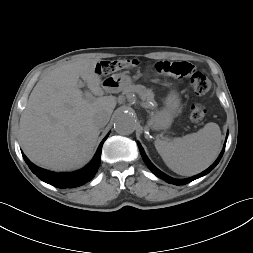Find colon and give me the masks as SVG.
<instances>
[{"label":"colon","instance_id":"obj_1","mask_svg":"<svg viewBox=\"0 0 253 253\" xmlns=\"http://www.w3.org/2000/svg\"><path fill=\"white\" fill-rule=\"evenodd\" d=\"M138 66L137 60L118 59L112 61L101 62L97 66V71L102 75H109L111 73L132 69ZM156 69L160 74L175 77L187 78L190 82L192 91L197 95H203L210 91L211 81L209 78L195 68L188 62H170L161 61L156 64ZM206 116V108L201 104H193L190 109V118L194 123L201 122Z\"/></svg>","mask_w":253,"mask_h":253}]
</instances>
